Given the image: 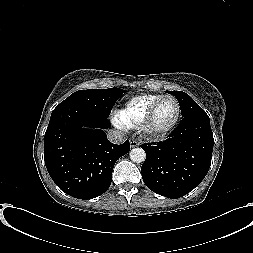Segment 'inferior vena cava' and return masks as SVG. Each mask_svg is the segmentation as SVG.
<instances>
[{"label":"inferior vena cava","instance_id":"inferior-vena-cava-1","mask_svg":"<svg viewBox=\"0 0 253 253\" xmlns=\"http://www.w3.org/2000/svg\"><path fill=\"white\" fill-rule=\"evenodd\" d=\"M109 141L120 144L125 141V137L116 129H110L107 133Z\"/></svg>","mask_w":253,"mask_h":253}]
</instances>
